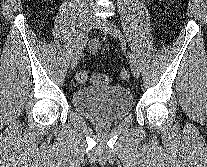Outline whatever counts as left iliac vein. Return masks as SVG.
I'll use <instances>...</instances> for the list:
<instances>
[{
	"mask_svg": "<svg viewBox=\"0 0 207 167\" xmlns=\"http://www.w3.org/2000/svg\"><path fill=\"white\" fill-rule=\"evenodd\" d=\"M95 24H96V26H98L101 30H103L109 36H111L113 38L118 37V32L116 30V27L114 26V24L111 21L98 18L95 20ZM128 58H129V62H130L131 71H132L133 75L136 78H138L140 75V69H139L137 60L130 53H128Z\"/></svg>",
	"mask_w": 207,
	"mask_h": 167,
	"instance_id": "1",
	"label": "left iliac vein"
}]
</instances>
